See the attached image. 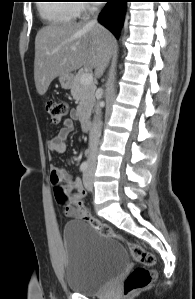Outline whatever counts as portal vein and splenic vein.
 I'll list each match as a JSON object with an SVG mask.
<instances>
[{
  "instance_id": "obj_1",
  "label": "portal vein and splenic vein",
  "mask_w": 195,
  "mask_h": 299,
  "mask_svg": "<svg viewBox=\"0 0 195 299\" xmlns=\"http://www.w3.org/2000/svg\"><path fill=\"white\" fill-rule=\"evenodd\" d=\"M92 82H93V75H92V73H84L81 76V83L82 84L88 85V84H91Z\"/></svg>"
}]
</instances>
